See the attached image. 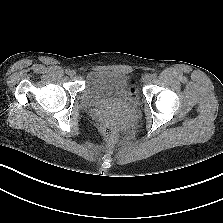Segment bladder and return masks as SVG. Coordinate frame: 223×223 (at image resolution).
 Masks as SVG:
<instances>
[{
	"mask_svg": "<svg viewBox=\"0 0 223 223\" xmlns=\"http://www.w3.org/2000/svg\"><path fill=\"white\" fill-rule=\"evenodd\" d=\"M81 101L87 106L115 103L135 107L139 99L127 75L112 71H94L87 77Z\"/></svg>",
	"mask_w": 223,
	"mask_h": 223,
	"instance_id": "bladder-1",
	"label": "bladder"
}]
</instances>
